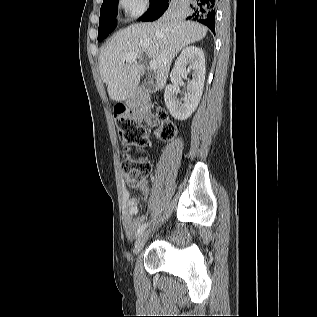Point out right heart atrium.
I'll return each mask as SVG.
<instances>
[{
  "instance_id": "right-heart-atrium-1",
  "label": "right heart atrium",
  "mask_w": 317,
  "mask_h": 317,
  "mask_svg": "<svg viewBox=\"0 0 317 317\" xmlns=\"http://www.w3.org/2000/svg\"><path fill=\"white\" fill-rule=\"evenodd\" d=\"M148 6V0H118V7L127 19L141 16Z\"/></svg>"
}]
</instances>
